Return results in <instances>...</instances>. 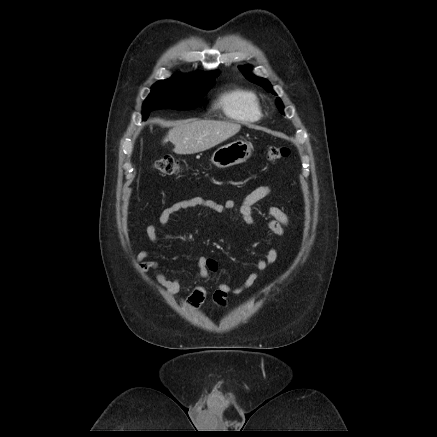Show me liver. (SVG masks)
<instances>
[{"label":"liver","mask_w":437,"mask_h":437,"mask_svg":"<svg viewBox=\"0 0 437 437\" xmlns=\"http://www.w3.org/2000/svg\"><path fill=\"white\" fill-rule=\"evenodd\" d=\"M240 129V124L229 121L181 120L174 123L163 142L173 143L176 154H195L224 142Z\"/></svg>","instance_id":"liver-1"}]
</instances>
